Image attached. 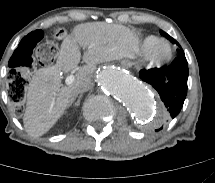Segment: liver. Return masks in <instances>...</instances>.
Returning a JSON list of instances; mask_svg holds the SVG:
<instances>
[{
    "label": "liver",
    "instance_id": "6515ba94",
    "mask_svg": "<svg viewBox=\"0 0 215 183\" xmlns=\"http://www.w3.org/2000/svg\"><path fill=\"white\" fill-rule=\"evenodd\" d=\"M138 44L137 35L120 24L89 22L75 26L63 40L56 64L38 69L27 86L23 116L26 131L33 137L47 133L75 100L77 82L91 80L99 63L132 58ZM79 46L86 50L82 57L86 65L78 69L71 85L63 86L60 71L77 68L81 60Z\"/></svg>",
    "mask_w": 215,
    "mask_h": 183
}]
</instances>
